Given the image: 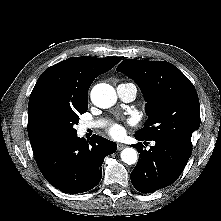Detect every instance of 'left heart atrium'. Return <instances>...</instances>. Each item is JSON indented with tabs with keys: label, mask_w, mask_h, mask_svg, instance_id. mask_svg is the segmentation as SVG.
<instances>
[{
	"label": "left heart atrium",
	"mask_w": 221,
	"mask_h": 221,
	"mask_svg": "<svg viewBox=\"0 0 221 221\" xmlns=\"http://www.w3.org/2000/svg\"><path fill=\"white\" fill-rule=\"evenodd\" d=\"M108 132L112 137L119 138L123 136L124 128L120 124L115 123L110 126V128L108 129Z\"/></svg>",
	"instance_id": "1"
}]
</instances>
